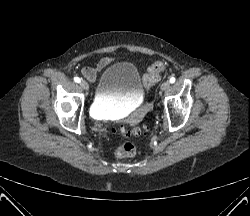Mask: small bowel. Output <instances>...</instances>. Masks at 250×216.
<instances>
[{
  "instance_id": "c3829d8e",
  "label": "small bowel",
  "mask_w": 250,
  "mask_h": 216,
  "mask_svg": "<svg viewBox=\"0 0 250 216\" xmlns=\"http://www.w3.org/2000/svg\"><path fill=\"white\" fill-rule=\"evenodd\" d=\"M110 62V59H103L101 60L98 65L93 68V67H85L82 70V75L88 79L89 81H95L97 72L105 67L108 63Z\"/></svg>"
}]
</instances>
